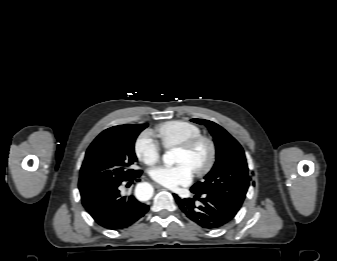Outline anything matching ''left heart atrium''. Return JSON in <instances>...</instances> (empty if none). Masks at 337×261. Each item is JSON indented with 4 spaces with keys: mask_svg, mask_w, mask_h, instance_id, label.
Segmentation results:
<instances>
[{
    "mask_svg": "<svg viewBox=\"0 0 337 261\" xmlns=\"http://www.w3.org/2000/svg\"><path fill=\"white\" fill-rule=\"evenodd\" d=\"M149 175L155 182L168 188H175L189 184L193 179V170L183 163L173 166L159 165L150 169Z\"/></svg>",
    "mask_w": 337,
    "mask_h": 261,
    "instance_id": "39dd6f15",
    "label": "left heart atrium"
}]
</instances>
